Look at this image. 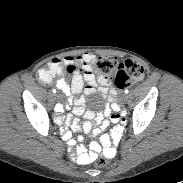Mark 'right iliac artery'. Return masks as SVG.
<instances>
[{
    "mask_svg": "<svg viewBox=\"0 0 183 183\" xmlns=\"http://www.w3.org/2000/svg\"><path fill=\"white\" fill-rule=\"evenodd\" d=\"M52 91H53V93H56V90H55V89H53ZM58 108H59V105H56V107H55V111H57V110H58Z\"/></svg>",
    "mask_w": 183,
    "mask_h": 183,
    "instance_id": "right-iliac-artery-1",
    "label": "right iliac artery"
}]
</instances>
